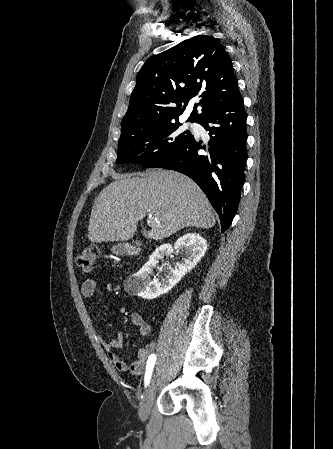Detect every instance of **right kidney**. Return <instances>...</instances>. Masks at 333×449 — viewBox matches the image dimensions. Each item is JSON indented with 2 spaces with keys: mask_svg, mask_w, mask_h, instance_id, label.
<instances>
[{
  "mask_svg": "<svg viewBox=\"0 0 333 449\" xmlns=\"http://www.w3.org/2000/svg\"><path fill=\"white\" fill-rule=\"evenodd\" d=\"M174 248L177 252L184 249L186 257L182 262H177L175 268H170L165 278H154L151 281L149 275L160 259L173 253L170 244L156 248L148 262L136 274V293L139 297L150 300L169 292L201 260L207 250V242L200 234L187 233L176 241Z\"/></svg>",
  "mask_w": 333,
  "mask_h": 449,
  "instance_id": "obj_1",
  "label": "right kidney"
}]
</instances>
